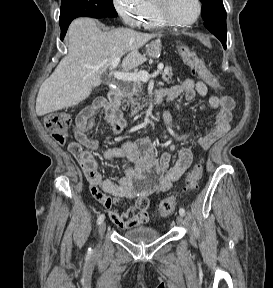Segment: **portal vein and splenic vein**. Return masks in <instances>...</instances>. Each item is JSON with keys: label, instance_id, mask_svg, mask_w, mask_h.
<instances>
[{"label": "portal vein and splenic vein", "instance_id": "obj_1", "mask_svg": "<svg viewBox=\"0 0 273 288\" xmlns=\"http://www.w3.org/2000/svg\"><path fill=\"white\" fill-rule=\"evenodd\" d=\"M120 62V57H116L112 60L111 67L114 70ZM164 65L159 64L158 65V70L155 71L153 74H149L146 71H139L137 73H129V72H120V71H113L112 74L114 78L120 81H127V82H136V81H142V82H147L149 78L151 77H156L159 72L163 69Z\"/></svg>", "mask_w": 273, "mask_h": 288}]
</instances>
